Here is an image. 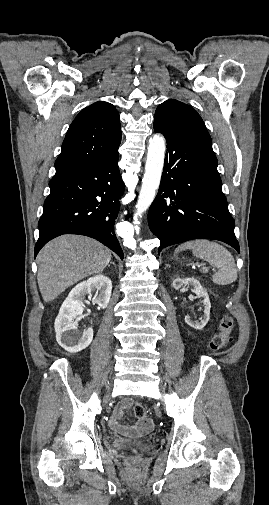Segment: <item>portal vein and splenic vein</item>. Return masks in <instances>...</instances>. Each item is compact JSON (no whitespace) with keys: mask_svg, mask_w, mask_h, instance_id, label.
<instances>
[{"mask_svg":"<svg viewBox=\"0 0 269 505\" xmlns=\"http://www.w3.org/2000/svg\"><path fill=\"white\" fill-rule=\"evenodd\" d=\"M204 265H205L204 263H200V264H197V267H202Z\"/></svg>","mask_w":269,"mask_h":505,"instance_id":"obj_1","label":"portal vein and splenic vein"}]
</instances>
